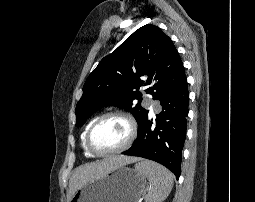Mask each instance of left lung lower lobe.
Here are the masks:
<instances>
[{
  "mask_svg": "<svg viewBox=\"0 0 255 202\" xmlns=\"http://www.w3.org/2000/svg\"><path fill=\"white\" fill-rule=\"evenodd\" d=\"M162 111L156 115V127L148 116L141 125L133 146L122 152L156 161L175 176H180L182 149L186 138L189 92L186 76L159 98Z\"/></svg>",
  "mask_w": 255,
  "mask_h": 202,
  "instance_id": "left-lung-lower-lobe-1",
  "label": "left lung lower lobe"
}]
</instances>
